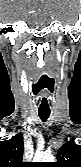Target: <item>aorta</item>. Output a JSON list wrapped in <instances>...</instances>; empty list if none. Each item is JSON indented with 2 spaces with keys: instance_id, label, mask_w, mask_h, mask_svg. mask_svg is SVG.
<instances>
[{
  "instance_id": "obj_1",
  "label": "aorta",
  "mask_w": 81,
  "mask_h": 167,
  "mask_svg": "<svg viewBox=\"0 0 81 167\" xmlns=\"http://www.w3.org/2000/svg\"><path fill=\"white\" fill-rule=\"evenodd\" d=\"M37 162H54V157L49 154L36 155L34 158Z\"/></svg>"
}]
</instances>
